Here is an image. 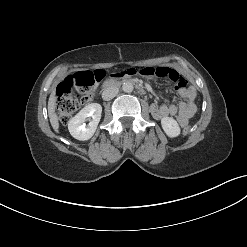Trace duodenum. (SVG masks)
I'll use <instances>...</instances> for the list:
<instances>
[{
    "mask_svg": "<svg viewBox=\"0 0 247 247\" xmlns=\"http://www.w3.org/2000/svg\"><path fill=\"white\" fill-rule=\"evenodd\" d=\"M111 80V81H110ZM129 81H132V79H130V78H122V77H114V80H113V78H111V79H109V80H107L104 84H103V86H102V88L104 89V90H107V89H110V88H112V87H114V86H117V85H119V84H121L122 82H129ZM137 90L139 91V92H141V93H144V89L141 87V86H137Z\"/></svg>",
    "mask_w": 247,
    "mask_h": 247,
    "instance_id": "1",
    "label": "duodenum"
}]
</instances>
